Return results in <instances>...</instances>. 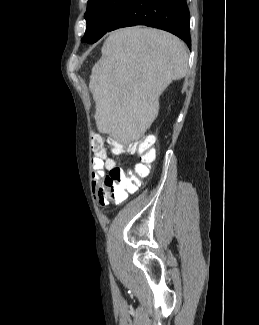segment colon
I'll return each instance as SVG.
<instances>
[{
	"instance_id": "1",
	"label": "colon",
	"mask_w": 259,
	"mask_h": 325,
	"mask_svg": "<svg viewBox=\"0 0 259 325\" xmlns=\"http://www.w3.org/2000/svg\"><path fill=\"white\" fill-rule=\"evenodd\" d=\"M108 141L114 154L136 153L141 160L139 164L127 171L113 166L101 182L99 196L108 203H121L127 194L135 192L148 176L156 158L155 138L148 135L127 144L113 139ZM91 149L95 156L103 159L106 156L105 139L101 135H94L91 139Z\"/></svg>"
}]
</instances>
